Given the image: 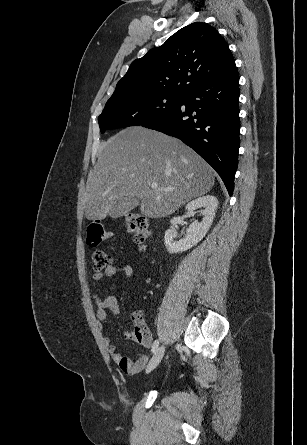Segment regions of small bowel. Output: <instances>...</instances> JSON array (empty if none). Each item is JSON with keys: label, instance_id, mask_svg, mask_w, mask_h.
<instances>
[{"label": "small bowel", "instance_id": "obj_1", "mask_svg": "<svg viewBox=\"0 0 307 445\" xmlns=\"http://www.w3.org/2000/svg\"><path fill=\"white\" fill-rule=\"evenodd\" d=\"M133 275V269L129 265L116 266L111 265L104 272H94L91 276L94 283L100 282L105 277L120 276L123 278H131ZM94 303L97 308V317L100 320H105L108 314L115 315L118 313L119 307L115 297L108 296L102 297L99 294L94 295ZM131 332H126L124 336L127 339H132ZM104 343L107 346L108 352L115 363L118 364L120 369L128 374H136L140 372L145 366L148 355L141 353L136 358H128L118 352L117 346L111 342L109 337L104 338ZM149 346V345H148ZM145 346V347H148Z\"/></svg>", "mask_w": 307, "mask_h": 445}]
</instances>
